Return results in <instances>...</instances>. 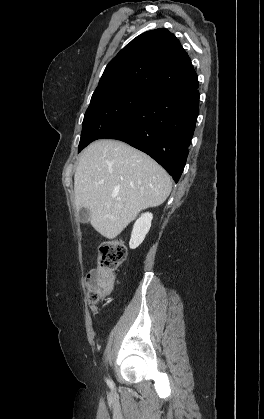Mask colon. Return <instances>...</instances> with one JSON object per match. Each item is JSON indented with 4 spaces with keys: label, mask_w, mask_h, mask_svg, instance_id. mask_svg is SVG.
<instances>
[{
    "label": "colon",
    "mask_w": 264,
    "mask_h": 419,
    "mask_svg": "<svg viewBox=\"0 0 264 419\" xmlns=\"http://www.w3.org/2000/svg\"><path fill=\"white\" fill-rule=\"evenodd\" d=\"M126 253L125 245L118 240L100 245L98 267L88 274L86 280L89 301L93 308H96L99 301L113 291L115 272L124 262Z\"/></svg>",
    "instance_id": "colon-1"
}]
</instances>
